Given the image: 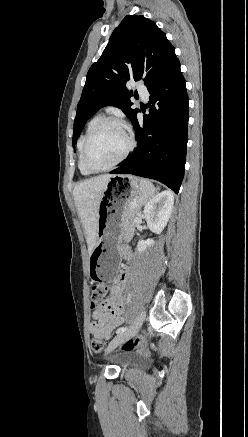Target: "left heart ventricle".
Instances as JSON below:
<instances>
[{
    "mask_svg": "<svg viewBox=\"0 0 248 437\" xmlns=\"http://www.w3.org/2000/svg\"><path fill=\"white\" fill-rule=\"evenodd\" d=\"M128 140L122 127L117 124L105 125L93 138L89 147V161L96 168H104L114 163L126 150Z\"/></svg>",
    "mask_w": 248,
    "mask_h": 437,
    "instance_id": "left-heart-ventricle-1",
    "label": "left heart ventricle"
}]
</instances>
